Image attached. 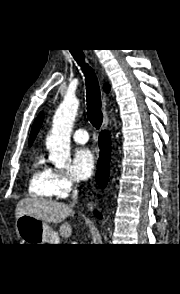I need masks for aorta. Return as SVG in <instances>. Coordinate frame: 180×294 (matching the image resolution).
<instances>
[{
    "mask_svg": "<svg viewBox=\"0 0 180 294\" xmlns=\"http://www.w3.org/2000/svg\"><path fill=\"white\" fill-rule=\"evenodd\" d=\"M79 100L75 97H65L53 117L52 130L46 139L49 159L58 168H63L70 158V136Z\"/></svg>",
    "mask_w": 180,
    "mask_h": 294,
    "instance_id": "762f6f07",
    "label": "aorta"
}]
</instances>
